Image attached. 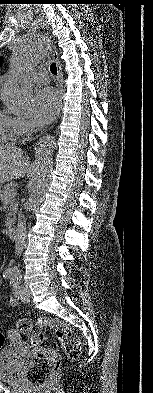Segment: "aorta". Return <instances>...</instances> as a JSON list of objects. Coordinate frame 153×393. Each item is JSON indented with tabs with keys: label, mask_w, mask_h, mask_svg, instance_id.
<instances>
[{
	"label": "aorta",
	"mask_w": 153,
	"mask_h": 393,
	"mask_svg": "<svg viewBox=\"0 0 153 393\" xmlns=\"http://www.w3.org/2000/svg\"><path fill=\"white\" fill-rule=\"evenodd\" d=\"M51 39L46 34L24 36L13 49L10 60L12 77L1 87V97L11 113H26L33 109L35 92L27 75L48 53ZM52 137L41 138L35 148V169L27 207L36 209L51 184L53 170Z\"/></svg>",
	"instance_id": "obj_1"
}]
</instances>
